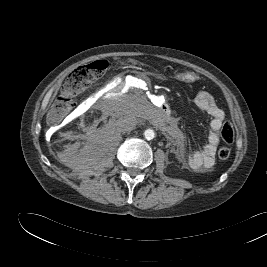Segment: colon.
<instances>
[{
	"label": "colon",
	"mask_w": 267,
	"mask_h": 267,
	"mask_svg": "<svg viewBox=\"0 0 267 267\" xmlns=\"http://www.w3.org/2000/svg\"><path fill=\"white\" fill-rule=\"evenodd\" d=\"M108 63L105 60L82 65L74 69L66 78L61 95L54 102L48 114L51 123L60 122L73 108L75 97L85 90L90 84L99 79L107 70ZM221 137L226 143H232L235 138V130L231 123L226 122L221 129ZM231 150L228 147H221L218 157L227 160Z\"/></svg>",
	"instance_id": "obj_1"
}]
</instances>
